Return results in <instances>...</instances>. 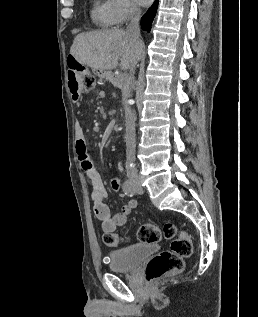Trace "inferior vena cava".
Here are the masks:
<instances>
[{"label": "inferior vena cava", "mask_w": 258, "mask_h": 317, "mask_svg": "<svg viewBox=\"0 0 258 317\" xmlns=\"http://www.w3.org/2000/svg\"><path fill=\"white\" fill-rule=\"evenodd\" d=\"M139 20H140V8L138 6H134L133 14L131 16L130 24L127 26V32H130L132 38H137L140 40V28H139ZM135 62L131 64V74L127 80V84H132L133 82V72L135 70ZM131 96V94H128ZM125 126H126V156H127V165H128V177L130 180L139 179V174L137 169L134 167L135 154H136V138H135V120L136 116L134 112H132L129 104L125 106Z\"/></svg>", "instance_id": "1"}]
</instances>
